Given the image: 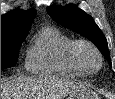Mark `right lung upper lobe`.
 <instances>
[{
	"instance_id": "cb5924a9",
	"label": "right lung upper lobe",
	"mask_w": 115,
	"mask_h": 99,
	"mask_svg": "<svg viewBox=\"0 0 115 99\" xmlns=\"http://www.w3.org/2000/svg\"><path fill=\"white\" fill-rule=\"evenodd\" d=\"M36 10H14L1 16V36L28 34Z\"/></svg>"
}]
</instances>
